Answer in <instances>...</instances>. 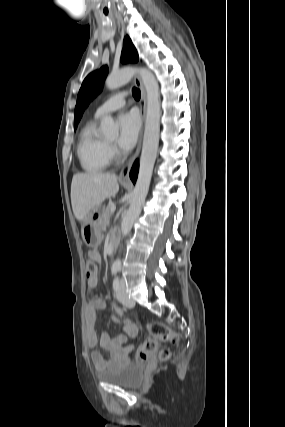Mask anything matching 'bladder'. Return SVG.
Returning a JSON list of instances; mask_svg holds the SVG:
<instances>
[{
    "label": "bladder",
    "mask_w": 285,
    "mask_h": 427,
    "mask_svg": "<svg viewBox=\"0 0 285 427\" xmlns=\"http://www.w3.org/2000/svg\"><path fill=\"white\" fill-rule=\"evenodd\" d=\"M144 376L143 366L140 364L129 365L119 369H112L98 373L100 381L124 388L138 386Z\"/></svg>",
    "instance_id": "31cf9c89"
}]
</instances>
